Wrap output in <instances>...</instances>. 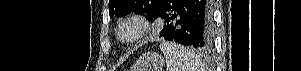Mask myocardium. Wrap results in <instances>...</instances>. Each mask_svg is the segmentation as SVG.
Segmentation results:
<instances>
[{
    "instance_id": "f54148a6",
    "label": "myocardium",
    "mask_w": 301,
    "mask_h": 71,
    "mask_svg": "<svg viewBox=\"0 0 301 71\" xmlns=\"http://www.w3.org/2000/svg\"><path fill=\"white\" fill-rule=\"evenodd\" d=\"M150 28L151 22L147 17L134 14L120 22L116 31L117 39L123 44L131 45L146 36ZM126 29H131L129 35L124 34Z\"/></svg>"
}]
</instances>
